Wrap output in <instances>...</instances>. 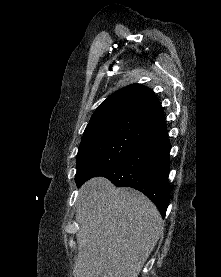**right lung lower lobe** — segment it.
I'll use <instances>...</instances> for the list:
<instances>
[{"label": "right lung lower lobe", "instance_id": "1", "mask_svg": "<svg viewBox=\"0 0 221 277\" xmlns=\"http://www.w3.org/2000/svg\"><path fill=\"white\" fill-rule=\"evenodd\" d=\"M140 125L144 130L143 138L121 161L97 176L108 178L116 186L141 191L155 203L164 217L169 203L171 145L161 107L143 116Z\"/></svg>", "mask_w": 221, "mask_h": 277}]
</instances>
